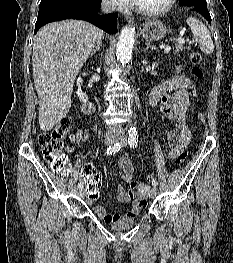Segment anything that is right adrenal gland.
<instances>
[{"instance_id":"2a0ac1e0","label":"right adrenal gland","mask_w":233,"mask_h":263,"mask_svg":"<svg viewBox=\"0 0 233 263\" xmlns=\"http://www.w3.org/2000/svg\"><path fill=\"white\" fill-rule=\"evenodd\" d=\"M101 41H98L95 48L91 51L90 56L92 57L97 51H100Z\"/></svg>"}]
</instances>
